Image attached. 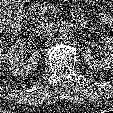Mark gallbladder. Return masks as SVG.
I'll return each mask as SVG.
<instances>
[{"label": "gallbladder", "mask_w": 113, "mask_h": 113, "mask_svg": "<svg viewBox=\"0 0 113 113\" xmlns=\"http://www.w3.org/2000/svg\"><path fill=\"white\" fill-rule=\"evenodd\" d=\"M5 1L6 0H0V9H1V12L4 10V8H5ZM13 1H15V0H13Z\"/></svg>", "instance_id": "1"}]
</instances>
